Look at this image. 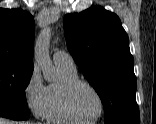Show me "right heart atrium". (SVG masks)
<instances>
[{
  "mask_svg": "<svg viewBox=\"0 0 156 124\" xmlns=\"http://www.w3.org/2000/svg\"><path fill=\"white\" fill-rule=\"evenodd\" d=\"M24 96L28 108L37 118H46L48 111L47 86L44 85L41 76L34 68L25 84Z\"/></svg>",
  "mask_w": 156,
  "mask_h": 124,
  "instance_id": "right-heart-atrium-1",
  "label": "right heart atrium"
}]
</instances>
